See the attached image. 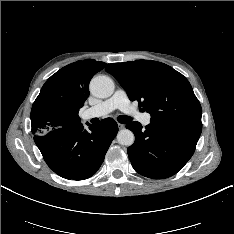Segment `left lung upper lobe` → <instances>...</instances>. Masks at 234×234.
<instances>
[{
  "instance_id": "1",
  "label": "left lung upper lobe",
  "mask_w": 234,
  "mask_h": 234,
  "mask_svg": "<svg viewBox=\"0 0 234 234\" xmlns=\"http://www.w3.org/2000/svg\"><path fill=\"white\" fill-rule=\"evenodd\" d=\"M125 89L131 101L151 114V121L201 120V105L188 80L157 61L111 63L106 69Z\"/></svg>"
}]
</instances>
